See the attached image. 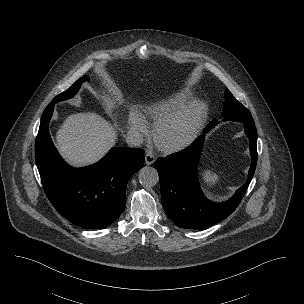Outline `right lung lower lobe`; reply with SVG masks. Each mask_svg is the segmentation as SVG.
Instances as JSON below:
<instances>
[{
    "instance_id": "obj_1",
    "label": "right lung lower lobe",
    "mask_w": 304,
    "mask_h": 304,
    "mask_svg": "<svg viewBox=\"0 0 304 304\" xmlns=\"http://www.w3.org/2000/svg\"><path fill=\"white\" fill-rule=\"evenodd\" d=\"M55 103L45 109L36 138L35 159L47 197L66 219L89 229L113 223L125 209L126 186L144 165V151L112 148L94 165L68 166L58 154L49 134Z\"/></svg>"
}]
</instances>
